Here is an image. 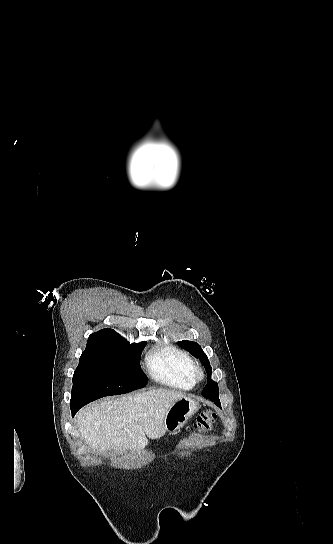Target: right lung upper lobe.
Masks as SVG:
<instances>
[{
  "mask_svg": "<svg viewBox=\"0 0 333 544\" xmlns=\"http://www.w3.org/2000/svg\"><path fill=\"white\" fill-rule=\"evenodd\" d=\"M119 340H124V338L115 330L109 328L102 329L89 336L86 349L83 353H103Z\"/></svg>",
  "mask_w": 333,
  "mask_h": 544,
  "instance_id": "1",
  "label": "right lung upper lobe"
}]
</instances>
